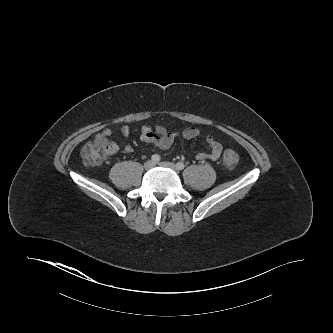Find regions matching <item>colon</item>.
I'll list each match as a JSON object with an SVG mask.
<instances>
[{
  "label": "colon",
  "mask_w": 333,
  "mask_h": 333,
  "mask_svg": "<svg viewBox=\"0 0 333 333\" xmlns=\"http://www.w3.org/2000/svg\"><path fill=\"white\" fill-rule=\"evenodd\" d=\"M109 146L104 141H96L86 144L81 150V157L88 165L100 164L108 154ZM239 162L238 154L233 150H226L223 154V163L227 167H235Z\"/></svg>",
  "instance_id": "colon-1"
}]
</instances>
